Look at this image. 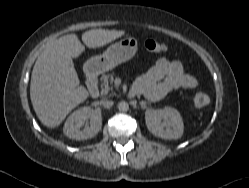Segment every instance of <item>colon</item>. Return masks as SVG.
Segmentation results:
<instances>
[{
  "label": "colon",
  "instance_id": "obj_1",
  "mask_svg": "<svg viewBox=\"0 0 249 188\" xmlns=\"http://www.w3.org/2000/svg\"><path fill=\"white\" fill-rule=\"evenodd\" d=\"M145 47L148 51L154 53L164 52L167 49L166 45L163 42L154 39H148L145 42ZM191 102L195 107H204L209 103V97L202 93L196 94L192 97Z\"/></svg>",
  "mask_w": 249,
  "mask_h": 188
}]
</instances>
